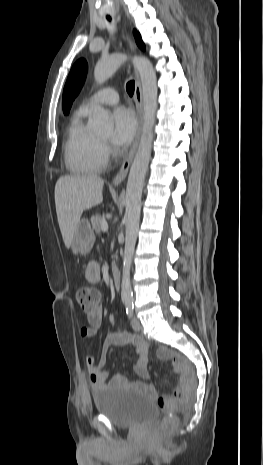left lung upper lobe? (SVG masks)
Returning <instances> with one entry per match:
<instances>
[{
    "label": "left lung upper lobe",
    "mask_w": 263,
    "mask_h": 465,
    "mask_svg": "<svg viewBox=\"0 0 263 465\" xmlns=\"http://www.w3.org/2000/svg\"><path fill=\"white\" fill-rule=\"evenodd\" d=\"M135 40L139 48L145 50V45L142 42L139 32L133 31ZM87 74V62L85 59H79L72 67L69 76L67 78L64 90H63V112L68 114L72 105L73 100L80 92Z\"/></svg>",
    "instance_id": "left-lung-upper-lobe-1"
}]
</instances>
